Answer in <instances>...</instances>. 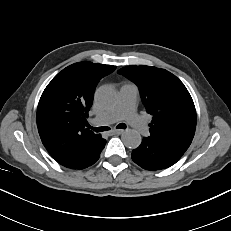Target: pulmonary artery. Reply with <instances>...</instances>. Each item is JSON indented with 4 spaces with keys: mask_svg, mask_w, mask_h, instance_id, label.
<instances>
[{
    "mask_svg": "<svg viewBox=\"0 0 231 231\" xmlns=\"http://www.w3.org/2000/svg\"><path fill=\"white\" fill-rule=\"evenodd\" d=\"M138 89L133 84H125L120 88L119 101L116 106L97 115L93 121L98 125H110L120 120H126L137 132L148 133V126L136 112Z\"/></svg>",
    "mask_w": 231,
    "mask_h": 231,
    "instance_id": "e3ab8cb5",
    "label": "pulmonary artery"
}]
</instances>
